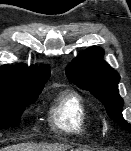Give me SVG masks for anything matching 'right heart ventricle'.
Returning a JSON list of instances; mask_svg holds the SVG:
<instances>
[{"instance_id": "right-heart-ventricle-1", "label": "right heart ventricle", "mask_w": 131, "mask_h": 151, "mask_svg": "<svg viewBox=\"0 0 131 151\" xmlns=\"http://www.w3.org/2000/svg\"><path fill=\"white\" fill-rule=\"evenodd\" d=\"M54 128L67 134H85L97 127V120L83 98L74 92L61 95L51 111Z\"/></svg>"}]
</instances>
